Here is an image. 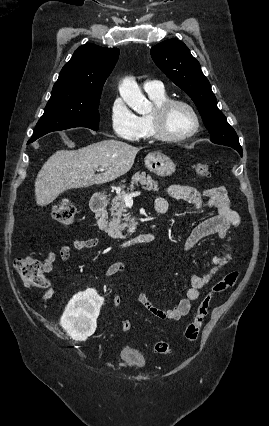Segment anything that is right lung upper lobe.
Returning a JSON list of instances; mask_svg holds the SVG:
<instances>
[{"label": "right lung upper lobe", "mask_w": 269, "mask_h": 426, "mask_svg": "<svg viewBox=\"0 0 269 426\" xmlns=\"http://www.w3.org/2000/svg\"><path fill=\"white\" fill-rule=\"evenodd\" d=\"M118 57L117 48L95 44L80 46L62 68L52 93L63 92L71 97L101 95L103 84Z\"/></svg>", "instance_id": "cb5924a9"}]
</instances>
